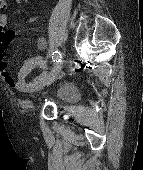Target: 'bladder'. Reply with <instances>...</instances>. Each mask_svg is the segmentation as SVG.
Masks as SVG:
<instances>
[{
  "mask_svg": "<svg viewBox=\"0 0 143 170\" xmlns=\"http://www.w3.org/2000/svg\"><path fill=\"white\" fill-rule=\"evenodd\" d=\"M54 98L60 103H72L77 99V91L71 83H60L54 90Z\"/></svg>",
  "mask_w": 143,
  "mask_h": 170,
  "instance_id": "31cf9c89",
  "label": "bladder"
}]
</instances>
